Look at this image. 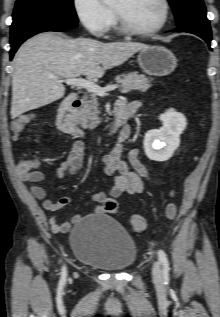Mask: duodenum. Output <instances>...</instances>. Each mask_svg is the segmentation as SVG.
<instances>
[{"instance_id": "410a0bca", "label": "duodenum", "mask_w": 220, "mask_h": 317, "mask_svg": "<svg viewBox=\"0 0 220 317\" xmlns=\"http://www.w3.org/2000/svg\"><path fill=\"white\" fill-rule=\"evenodd\" d=\"M79 104L80 102L76 93L67 96L58 108L56 121L57 126L61 131L82 138L84 136V131L74 120L75 112L79 107ZM127 117L128 111L124 102L118 101L115 105L110 131L117 132L119 144L130 137L129 129L126 127Z\"/></svg>"}]
</instances>
